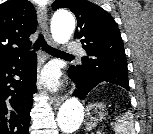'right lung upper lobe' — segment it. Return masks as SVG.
I'll return each instance as SVG.
<instances>
[{
  "instance_id": "cb5924a9",
  "label": "right lung upper lobe",
  "mask_w": 153,
  "mask_h": 134,
  "mask_svg": "<svg viewBox=\"0 0 153 134\" xmlns=\"http://www.w3.org/2000/svg\"><path fill=\"white\" fill-rule=\"evenodd\" d=\"M36 27V12L28 0L0 4V64L29 53V36Z\"/></svg>"
}]
</instances>
